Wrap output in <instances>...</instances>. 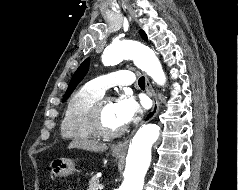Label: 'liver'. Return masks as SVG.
<instances>
[{
  "mask_svg": "<svg viewBox=\"0 0 238 190\" xmlns=\"http://www.w3.org/2000/svg\"><path fill=\"white\" fill-rule=\"evenodd\" d=\"M73 148L93 152H104L108 149V146L105 143H100L98 141L75 139L68 145V149Z\"/></svg>",
  "mask_w": 238,
  "mask_h": 190,
  "instance_id": "liver-1",
  "label": "liver"
}]
</instances>
